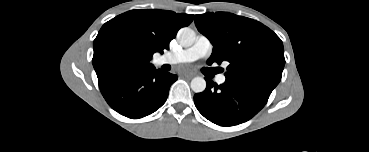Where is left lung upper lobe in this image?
Wrapping results in <instances>:
<instances>
[{
  "label": "left lung upper lobe",
  "mask_w": 369,
  "mask_h": 152,
  "mask_svg": "<svg viewBox=\"0 0 369 152\" xmlns=\"http://www.w3.org/2000/svg\"><path fill=\"white\" fill-rule=\"evenodd\" d=\"M195 25L213 45L208 63L229 62L226 79L274 89L285 65L281 39L256 20L227 12L195 16Z\"/></svg>",
  "instance_id": "5c2ea615"
}]
</instances>
